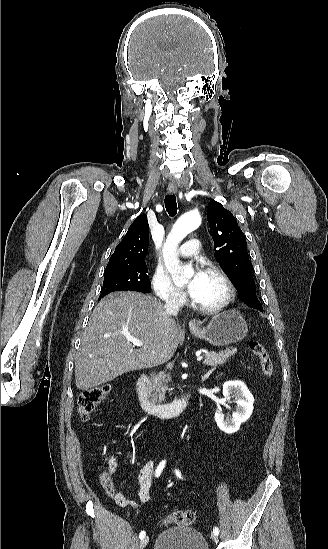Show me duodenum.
<instances>
[{"instance_id": "410a0bca", "label": "duodenum", "mask_w": 328, "mask_h": 549, "mask_svg": "<svg viewBox=\"0 0 328 549\" xmlns=\"http://www.w3.org/2000/svg\"><path fill=\"white\" fill-rule=\"evenodd\" d=\"M136 393L142 409L146 413L158 417H173L180 414L187 407L193 396L192 391H189L172 402L155 403L149 398L148 375L145 373L141 374L137 381Z\"/></svg>"}]
</instances>
